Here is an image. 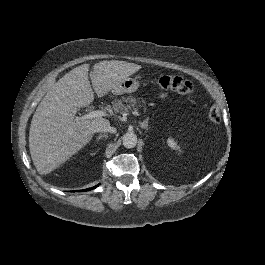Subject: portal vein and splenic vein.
<instances>
[{"label": "portal vein and splenic vein", "instance_id": "portal-vein-and-splenic-vein-1", "mask_svg": "<svg viewBox=\"0 0 265 265\" xmlns=\"http://www.w3.org/2000/svg\"><path fill=\"white\" fill-rule=\"evenodd\" d=\"M131 115L134 116H141V113L139 111L131 112ZM109 116V113L106 110H94L88 115H86V118H98V117H107Z\"/></svg>", "mask_w": 265, "mask_h": 265}]
</instances>
